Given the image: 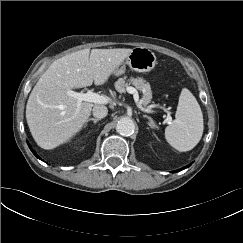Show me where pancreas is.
Masks as SVG:
<instances>
[{"mask_svg": "<svg viewBox=\"0 0 243 243\" xmlns=\"http://www.w3.org/2000/svg\"><path fill=\"white\" fill-rule=\"evenodd\" d=\"M127 78H128L127 76H124L123 78H119L115 82V89L119 93H124L130 83L133 86H135L136 89H138L143 93L142 104L144 106L149 105L152 99V91L149 83H147L142 77H137V78L130 77L129 79Z\"/></svg>", "mask_w": 243, "mask_h": 243, "instance_id": "cf45deb5", "label": "pancreas"}]
</instances>
